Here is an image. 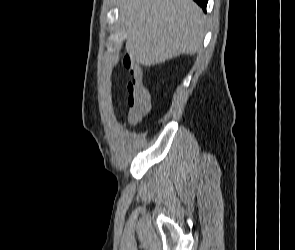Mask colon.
<instances>
[{
	"label": "colon",
	"instance_id": "obj_1",
	"mask_svg": "<svg viewBox=\"0 0 295 250\" xmlns=\"http://www.w3.org/2000/svg\"><path fill=\"white\" fill-rule=\"evenodd\" d=\"M127 93V118L131 124H135L149 111L150 96L143 77H133L127 84Z\"/></svg>",
	"mask_w": 295,
	"mask_h": 250
}]
</instances>
